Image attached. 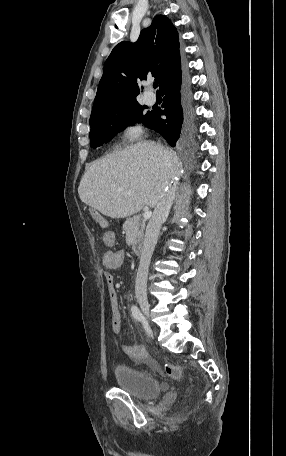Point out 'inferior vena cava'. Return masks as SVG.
I'll return each mask as SVG.
<instances>
[{"instance_id":"inferior-vena-cava-1","label":"inferior vena cava","mask_w":286,"mask_h":456,"mask_svg":"<svg viewBox=\"0 0 286 456\" xmlns=\"http://www.w3.org/2000/svg\"><path fill=\"white\" fill-rule=\"evenodd\" d=\"M174 197L175 188L171 185L165 187L160 191L159 199L155 206L153 215L146 227L139 267L135 281L136 296L146 297L147 295V280L151 257L157 244L161 225L166 221L169 215Z\"/></svg>"}]
</instances>
